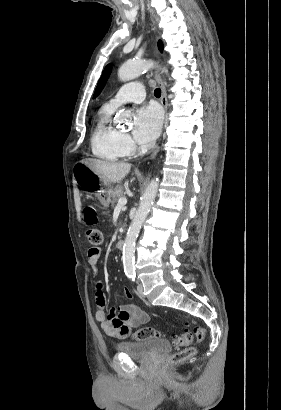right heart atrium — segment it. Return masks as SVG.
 <instances>
[{"instance_id": "1", "label": "right heart atrium", "mask_w": 281, "mask_h": 410, "mask_svg": "<svg viewBox=\"0 0 281 410\" xmlns=\"http://www.w3.org/2000/svg\"><path fill=\"white\" fill-rule=\"evenodd\" d=\"M122 141L128 154H132L136 150L133 141L128 135L122 134Z\"/></svg>"}]
</instances>
